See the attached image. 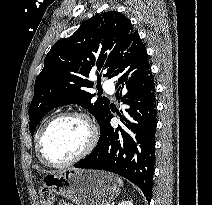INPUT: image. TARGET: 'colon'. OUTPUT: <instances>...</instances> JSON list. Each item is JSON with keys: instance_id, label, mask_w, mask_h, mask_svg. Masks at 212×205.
Segmentation results:
<instances>
[{"instance_id": "1", "label": "colon", "mask_w": 212, "mask_h": 205, "mask_svg": "<svg viewBox=\"0 0 212 205\" xmlns=\"http://www.w3.org/2000/svg\"><path fill=\"white\" fill-rule=\"evenodd\" d=\"M40 202L41 205H53L54 203V194L48 188H43L40 193Z\"/></svg>"}]
</instances>
